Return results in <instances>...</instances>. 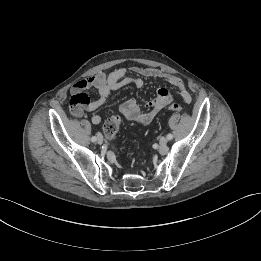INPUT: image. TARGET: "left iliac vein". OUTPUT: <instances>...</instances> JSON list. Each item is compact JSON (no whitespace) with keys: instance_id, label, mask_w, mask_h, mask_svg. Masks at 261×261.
I'll return each mask as SVG.
<instances>
[{"instance_id":"obj_1","label":"left iliac vein","mask_w":261,"mask_h":261,"mask_svg":"<svg viewBox=\"0 0 261 261\" xmlns=\"http://www.w3.org/2000/svg\"><path fill=\"white\" fill-rule=\"evenodd\" d=\"M168 140L166 137H161L159 140V144L161 147H164L167 144Z\"/></svg>"}]
</instances>
